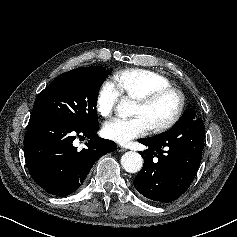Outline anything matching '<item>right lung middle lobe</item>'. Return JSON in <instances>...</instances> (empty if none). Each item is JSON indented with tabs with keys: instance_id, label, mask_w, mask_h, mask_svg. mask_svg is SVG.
<instances>
[{
	"instance_id": "dd1d6c3e",
	"label": "right lung middle lobe",
	"mask_w": 237,
	"mask_h": 237,
	"mask_svg": "<svg viewBox=\"0 0 237 237\" xmlns=\"http://www.w3.org/2000/svg\"><path fill=\"white\" fill-rule=\"evenodd\" d=\"M109 72L92 66L59 75L39 94L32 114L62 119L74 125L98 123L97 95Z\"/></svg>"
}]
</instances>
